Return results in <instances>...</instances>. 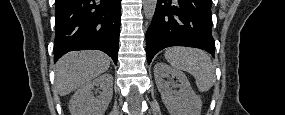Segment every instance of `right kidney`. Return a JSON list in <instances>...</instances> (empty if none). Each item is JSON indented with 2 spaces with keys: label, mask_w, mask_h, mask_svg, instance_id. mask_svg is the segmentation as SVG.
I'll list each match as a JSON object with an SVG mask.
<instances>
[{
  "label": "right kidney",
  "mask_w": 285,
  "mask_h": 115,
  "mask_svg": "<svg viewBox=\"0 0 285 115\" xmlns=\"http://www.w3.org/2000/svg\"><path fill=\"white\" fill-rule=\"evenodd\" d=\"M100 86L102 92L94 96V87ZM113 95V76L103 74L79 88L69 102L71 115H103Z\"/></svg>",
  "instance_id": "1"
}]
</instances>
